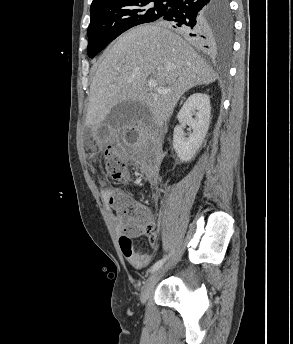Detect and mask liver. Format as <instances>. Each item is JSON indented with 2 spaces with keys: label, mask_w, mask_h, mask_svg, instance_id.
<instances>
[{
  "label": "liver",
  "mask_w": 293,
  "mask_h": 344,
  "mask_svg": "<svg viewBox=\"0 0 293 344\" xmlns=\"http://www.w3.org/2000/svg\"><path fill=\"white\" fill-rule=\"evenodd\" d=\"M167 94H150L148 80ZM217 79L215 72L179 35L159 24L142 25L121 35L106 54L90 85L86 126L99 127L111 109L136 101L157 126L171 117L189 89Z\"/></svg>",
  "instance_id": "liver-1"
}]
</instances>
